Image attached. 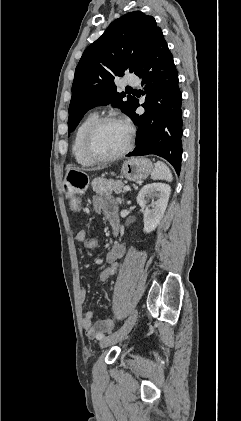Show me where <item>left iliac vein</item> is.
I'll use <instances>...</instances> for the list:
<instances>
[{
    "label": "left iliac vein",
    "instance_id": "4c4485c4",
    "mask_svg": "<svg viewBox=\"0 0 241 421\" xmlns=\"http://www.w3.org/2000/svg\"><path fill=\"white\" fill-rule=\"evenodd\" d=\"M137 318H138V311L134 310L132 314L129 316V318L126 320L124 325L117 332L113 333L112 335L108 337L103 338L100 341V347L105 348L123 340L131 331L133 326L135 325Z\"/></svg>",
    "mask_w": 241,
    "mask_h": 421
}]
</instances>
